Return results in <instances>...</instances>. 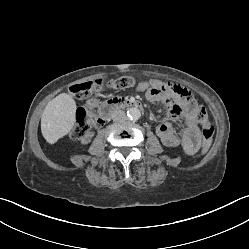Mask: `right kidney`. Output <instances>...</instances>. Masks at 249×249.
Returning a JSON list of instances; mask_svg holds the SVG:
<instances>
[{"instance_id":"right-kidney-1","label":"right kidney","mask_w":249,"mask_h":249,"mask_svg":"<svg viewBox=\"0 0 249 249\" xmlns=\"http://www.w3.org/2000/svg\"><path fill=\"white\" fill-rule=\"evenodd\" d=\"M96 136V131L95 130H90L89 135H86L84 139H82L81 143L82 144H90L92 141V137Z\"/></svg>"}]
</instances>
